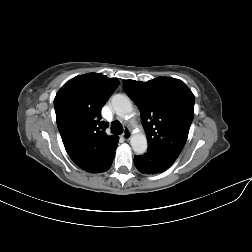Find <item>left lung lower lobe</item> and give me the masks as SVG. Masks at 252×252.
I'll use <instances>...</instances> for the list:
<instances>
[{
    "mask_svg": "<svg viewBox=\"0 0 252 252\" xmlns=\"http://www.w3.org/2000/svg\"><path fill=\"white\" fill-rule=\"evenodd\" d=\"M176 159L177 157L161 149L148 148L144 155L134 157V164L143 174H156L167 170Z\"/></svg>",
    "mask_w": 252,
    "mask_h": 252,
    "instance_id": "1",
    "label": "left lung lower lobe"
}]
</instances>
